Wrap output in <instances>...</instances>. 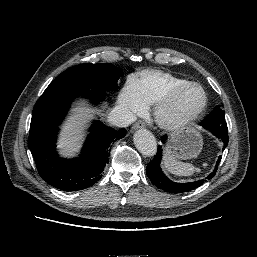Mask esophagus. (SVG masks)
Masks as SVG:
<instances>
[{
	"label": "esophagus",
	"mask_w": 257,
	"mask_h": 257,
	"mask_svg": "<svg viewBox=\"0 0 257 257\" xmlns=\"http://www.w3.org/2000/svg\"><path fill=\"white\" fill-rule=\"evenodd\" d=\"M145 124L143 121H138L136 122L133 126H132V130H137V129H141L144 128Z\"/></svg>",
	"instance_id": "34e87169"
}]
</instances>
